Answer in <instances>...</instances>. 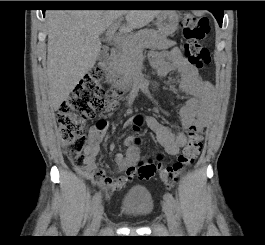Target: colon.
Masks as SVG:
<instances>
[{
  "label": "colon",
  "instance_id": "5ec220e1",
  "mask_svg": "<svg viewBox=\"0 0 265 245\" xmlns=\"http://www.w3.org/2000/svg\"><path fill=\"white\" fill-rule=\"evenodd\" d=\"M185 41L184 53L188 61L199 68L210 65L209 50L203 45L208 33V21L203 17L185 15L182 21ZM104 69L94 66L84 79L72 90L57 110V122L62 146L69 160L77 167L85 163L83 154L86 147L87 122L97 114H109L117 107L121 93L103 86ZM143 116L137 115L132 120L133 129L138 132ZM202 129L194 128L177 159L167 165L161 164L162 155L157 159H146L134 168L140 179H152L159 175L167 188H173L180 177L195 162L202 151ZM141 138L134 137L139 143Z\"/></svg>",
  "mask_w": 265,
  "mask_h": 245
}]
</instances>
